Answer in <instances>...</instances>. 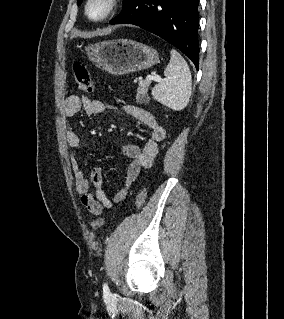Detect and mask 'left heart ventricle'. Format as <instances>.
<instances>
[{
    "mask_svg": "<svg viewBox=\"0 0 284 319\" xmlns=\"http://www.w3.org/2000/svg\"><path fill=\"white\" fill-rule=\"evenodd\" d=\"M106 0H94L89 7V14L94 17H100L106 11Z\"/></svg>",
    "mask_w": 284,
    "mask_h": 319,
    "instance_id": "obj_1",
    "label": "left heart ventricle"
}]
</instances>
